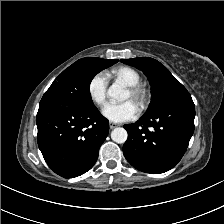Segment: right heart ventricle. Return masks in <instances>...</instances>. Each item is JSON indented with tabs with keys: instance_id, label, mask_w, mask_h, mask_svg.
<instances>
[{
	"instance_id": "right-heart-ventricle-1",
	"label": "right heart ventricle",
	"mask_w": 224,
	"mask_h": 224,
	"mask_svg": "<svg viewBox=\"0 0 224 224\" xmlns=\"http://www.w3.org/2000/svg\"><path fill=\"white\" fill-rule=\"evenodd\" d=\"M108 75L115 80L123 82L126 86L139 85L141 83L140 74L128 66H119L112 69Z\"/></svg>"
}]
</instances>
